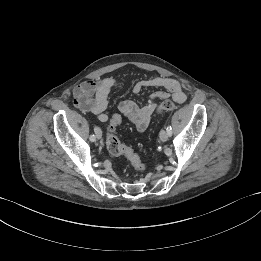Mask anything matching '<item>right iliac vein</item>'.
Segmentation results:
<instances>
[{
    "label": "right iliac vein",
    "instance_id": "obj_1",
    "mask_svg": "<svg viewBox=\"0 0 261 261\" xmlns=\"http://www.w3.org/2000/svg\"><path fill=\"white\" fill-rule=\"evenodd\" d=\"M95 133H96V138H97V139H100V138L102 137V132H101V130H100L99 128H97V130L95 131Z\"/></svg>",
    "mask_w": 261,
    "mask_h": 261
}]
</instances>
